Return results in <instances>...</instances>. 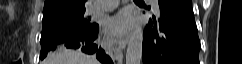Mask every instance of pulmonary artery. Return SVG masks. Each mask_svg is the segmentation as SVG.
Returning <instances> with one entry per match:
<instances>
[{"instance_id": "obj_1", "label": "pulmonary artery", "mask_w": 242, "mask_h": 64, "mask_svg": "<svg viewBox=\"0 0 242 64\" xmlns=\"http://www.w3.org/2000/svg\"><path fill=\"white\" fill-rule=\"evenodd\" d=\"M155 9H158V1L150 0ZM119 1L118 0H97L94 4L95 8L100 11L112 10L117 7Z\"/></svg>"}]
</instances>
